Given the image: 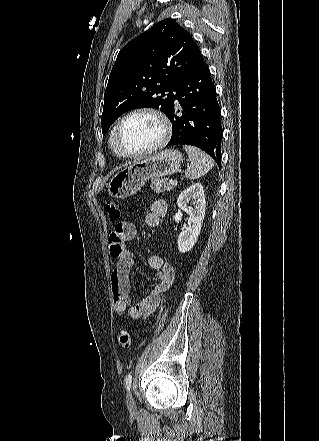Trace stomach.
<instances>
[{
    "instance_id": "1",
    "label": "stomach",
    "mask_w": 319,
    "mask_h": 441,
    "mask_svg": "<svg viewBox=\"0 0 319 441\" xmlns=\"http://www.w3.org/2000/svg\"><path fill=\"white\" fill-rule=\"evenodd\" d=\"M182 162V154L175 149H167L148 159L135 160L111 178L109 195L127 198L140 190L147 180L176 173Z\"/></svg>"
}]
</instances>
